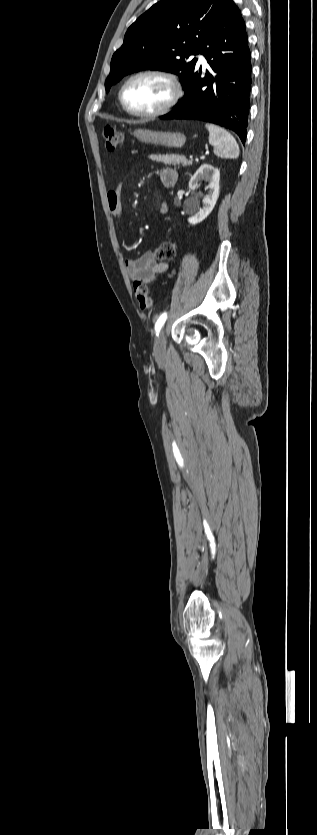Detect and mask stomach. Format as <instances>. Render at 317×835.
Listing matches in <instances>:
<instances>
[{
  "instance_id": "obj_1",
  "label": "stomach",
  "mask_w": 317,
  "mask_h": 835,
  "mask_svg": "<svg viewBox=\"0 0 317 835\" xmlns=\"http://www.w3.org/2000/svg\"><path fill=\"white\" fill-rule=\"evenodd\" d=\"M133 134L139 141L145 144L169 148H180L186 141L185 135L179 132H157L149 129H136Z\"/></svg>"
}]
</instances>
